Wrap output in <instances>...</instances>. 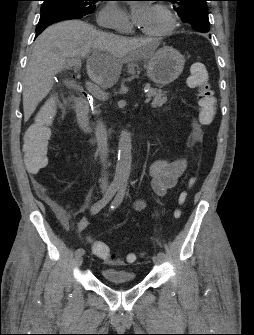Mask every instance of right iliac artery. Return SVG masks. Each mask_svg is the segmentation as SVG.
I'll return each mask as SVG.
<instances>
[{"label":"right iliac artery","mask_w":254,"mask_h":335,"mask_svg":"<svg viewBox=\"0 0 254 335\" xmlns=\"http://www.w3.org/2000/svg\"><path fill=\"white\" fill-rule=\"evenodd\" d=\"M118 189V185L117 184H111L106 192V194L104 195V197L99 200L98 202H96L92 207H91V213L93 215L97 214L102 208H104L109 202L110 200L113 198V196L115 195L116 191ZM85 253L83 248H78L75 251L76 255H83Z\"/></svg>","instance_id":"right-iliac-artery-1"}]
</instances>
